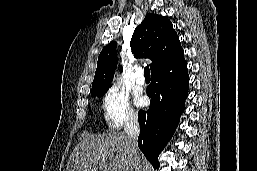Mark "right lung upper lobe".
Returning a JSON list of instances; mask_svg holds the SVG:
<instances>
[{"label": "right lung upper lobe", "mask_w": 257, "mask_h": 171, "mask_svg": "<svg viewBox=\"0 0 257 171\" xmlns=\"http://www.w3.org/2000/svg\"><path fill=\"white\" fill-rule=\"evenodd\" d=\"M116 42L106 45L97 62L91 93L109 89L117 67ZM136 58H149L151 73L172 66L184 58L179 37L167 18L148 13L136 27L130 41Z\"/></svg>", "instance_id": "cb5924a9"}]
</instances>
